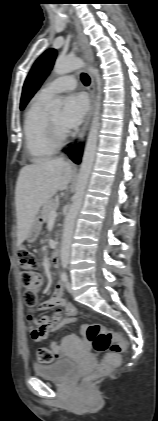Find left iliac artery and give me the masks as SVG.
Instances as JSON below:
<instances>
[{
    "mask_svg": "<svg viewBox=\"0 0 158 421\" xmlns=\"http://www.w3.org/2000/svg\"><path fill=\"white\" fill-rule=\"evenodd\" d=\"M62 266H63V271H62V273H61V280L63 281V282H67V280H68V276H67V273H66V271H65V269L67 268V266H68V261L67 260H64L63 262H62Z\"/></svg>",
    "mask_w": 158,
    "mask_h": 421,
    "instance_id": "left-iliac-artery-1",
    "label": "left iliac artery"
}]
</instances>
